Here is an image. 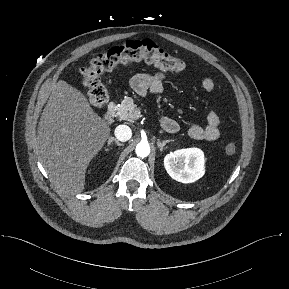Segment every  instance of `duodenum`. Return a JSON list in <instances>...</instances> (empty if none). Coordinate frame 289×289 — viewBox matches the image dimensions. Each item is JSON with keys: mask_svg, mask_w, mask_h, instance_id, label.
Masks as SVG:
<instances>
[{"mask_svg": "<svg viewBox=\"0 0 289 289\" xmlns=\"http://www.w3.org/2000/svg\"><path fill=\"white\" fill-rule=\"evenodd\" d=\"M115 105H110L107 109V111L104 114V121L107 124H110L115 116Z\"/></svg>", "mask_w": 289, "mask_h": 289, "instance_id": "1", "label": "duodenum"}]
</instances>
